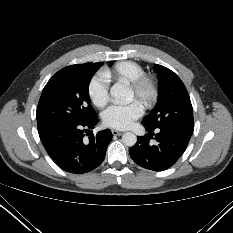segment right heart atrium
<instances>
[{"instance_id": "d8ad5b80", "label": "right heart atrium", "mask_w": 233, "mask_h": 233, "mask_svg": "<svg viewBox=\"0 0 233 233\" xmlns=\"http://www.w3.org/2000/svg\"><path fill=\"white\" fill-rule=\"evenodd\" d=\"M88 96L98 108H104L110 101L109 80L100 72L88 84Z\"/></svg>"}]
</instances>
